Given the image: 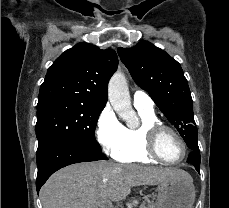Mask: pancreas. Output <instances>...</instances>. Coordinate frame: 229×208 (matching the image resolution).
<instances>
[{
    "instance_id": "cf45deb5",
    "label": "pancreas",
    "mask_w": 229,
    "mask_h": 208,
    "mask_svg": "<svg viewBox=\"0 0 229 208\" xmlns=\"http://www.w3.org/2000/svg\"><path fill=\"white\" fill-rule=\"evenodd\" d=\"M140 208H156L155 202H151V200H145V202L141 204Z\"/></svg>"
}]
</instances>
